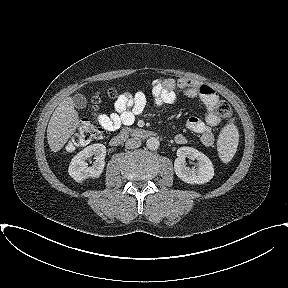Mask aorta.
I'll list each match as a JSON object with an SVG mask.
<instances>
[{
	"label": "aorta",
	"instance_id": "762f6f07",
	"mask_svg": "<svg viewBox=\"0 0 288 288\" xmlns=\"http://www.w3.org/2000/svg\"><path fill=\"white\" fill-rule=\"evenodd\" d=\"M146 146L150 150H157L160 146V142L157 138L155 137H150L146 141Z\"/></svg>",
	"mask_w": 288,
	"mask_h": 288
}]
</instances>
